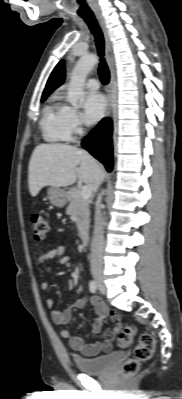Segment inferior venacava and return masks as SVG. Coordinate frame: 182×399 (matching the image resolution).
<instances>
[{"label": "inferior vena cava", "instance_id": "obj_1", "mask_svg": "<svg viewBox=\"0 0 182 399\" xmlns=\"http://www.w3.org/2000/svg\"><path fill=\"white\" fill-rule=\"evenodd\" d=\"M100 203H101V195H98L95 205L94 232L91 242V272L93 274L100 272L103 267L104 224L101 214Z\"/></svg>", "mask_w": 182, "mask_h": 399}]
</instances>
